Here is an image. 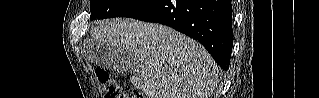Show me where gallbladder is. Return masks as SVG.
Listing matches in <instances>:
<instances>
[{"label": "gallbladder", "mask_w": 319, "mask_h": 98, "mask_svg": "<svg viewBox=\"0 0 319 98\" xmlns=\"http://www.w3.org/2000/svg\"><path fill=\"white\" fill-rule=\"evenodd\" d=\"M87 56L94 64L119 73H133L137 67L136 58L124 50L105 44H96L87 51Z\"/></svg>", "instance_id": "gallbladder-1"}]
</instances>
